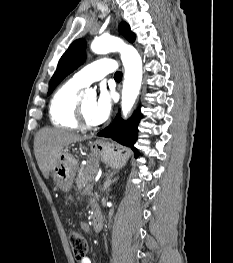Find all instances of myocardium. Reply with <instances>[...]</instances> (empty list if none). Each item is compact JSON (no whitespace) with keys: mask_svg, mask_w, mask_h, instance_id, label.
Instances as JSON below:
<instances>
[{"mask_svg":"<svg viewBox=\"0 0 233 263\" xmlns=\"http://www.w3.org/2000/svg\"><path fill=\"white\" fill-rule=\"evenodd\" d=\"M76 114H77L78 124L81 128L86 129V130H91L95 128V125L89 123V121L87 120L84 114L82 102L80 101L78 102V105H77Z\"/></svg>","mask_w":233,"mask_h":263,"instance_id":"myocardium-1","label":"myocardium"}]
</instances>
